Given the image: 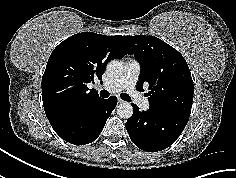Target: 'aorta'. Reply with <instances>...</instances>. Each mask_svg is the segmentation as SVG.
Returning a JSON list of instances; mask_svg holds the SVG:
<instances>
[{
  "label": "aorta",
  "instance_id": "762f6f07",
  "mask_svg": "<svg viewBox=\"0 0 236 178\" xmlns=\"http://www.w3.org/2000/svg\"><path fill=\"white\" fill-rule=\"evenodd\" d=\"M107 70L112 76L119 77L124 72L123 63L119 60H112L107 65ZM117 114L121 118L128 119L133 114V107L129 102H123L117 106Z\"/></svg>",
  "mask_w": 236,
  "mask_h": 178
}]
</instances>
